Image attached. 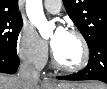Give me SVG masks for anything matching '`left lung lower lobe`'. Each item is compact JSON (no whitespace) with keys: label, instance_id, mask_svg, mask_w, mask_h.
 <instances>
[{"label":"left lung lower lobe","instance_id":"0a47b994","mask_svg":"<svg viewBox=\"0 0 107 89\" xmlns=\"http://www.w3.org/2000/svg\"><path fill=\"white\" fill-rule=\"evenodd\" d=\"M89 63L78 73L58 76L62 80H100L107 83V37H102L89 46Z\"/></svg>","mask_w":107,"mask_h":89}]
</instances>
